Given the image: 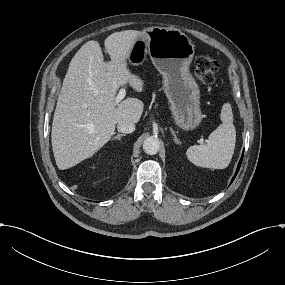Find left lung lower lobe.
<instances>
[{
	"label": "left lung lower lobe",
	"mask_w": 285,
	"mask_h": 285,
	"mask_svg": "<svg viewBox=\"0 0 285 285\" xmlns=\"http://www.w3.org/2000/svg\"><path fill=\"white\" fill-rule=\"evenodd\" d=\"M242 159H243V154H242V157H241V159H240V161H239V164H238V167H237L236 173H235L234 177H233V178H232V180H231V183L233 182L234 178L236 177V175H237V173H238V171H239V168H240V165H241Z\"/></svg>",
	"instance_id": "1"
}]
</instances>
